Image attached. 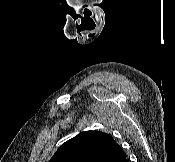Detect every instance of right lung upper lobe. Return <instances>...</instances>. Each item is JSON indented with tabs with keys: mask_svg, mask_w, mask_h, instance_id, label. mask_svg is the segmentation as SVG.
<instances>
[{
	"mask_svg": "<svg viewBox=\"0 0 175 162\" xmlns=\"http://www.w3.org/2000/svg\"><path fill=\"white\" fill-rule=\"evenodd\" d=\"M126 154L100 131H86L62 144L49 162H120Z\"/></svg>",
	"mask_w": 175,
	"mask_h": 162,
	"instance_id": "cb5924a9",
	"label": "right lung upper lobe"
}]
</instances>
